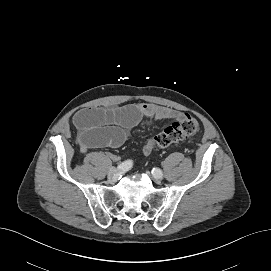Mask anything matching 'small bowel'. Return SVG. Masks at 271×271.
Instances as JSON below:
<instances>
[{
    "label": "small bowel",
    "mask_w": 271,
    "mask_h": 271,
    "mask_svg": "<svg viewBox=\"0 0 271 271\" xmlns=\"http://www.w3.org/2000/svg\"><path fill=\"white\" fill-rule=\"evenodd\" d=\"M183 115L170 108L140 103L111 110L83 109L74 115L73 122L78 130L80 150L87 152L92 148L119 147L126 140L128 131L142 118L179 120ZM150 152L151 146L148 144L142 153L148 155ZM113 158L116 159L115 156Z\"/></svg>",
    "instance_id": "c3829d8e"
}]
</instances>
